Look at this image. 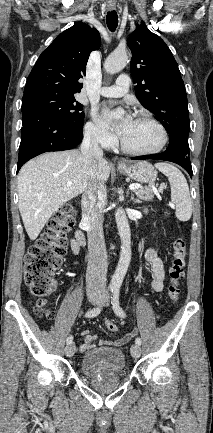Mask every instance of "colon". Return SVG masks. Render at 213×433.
Here are the masks:
<instances>
[{"instance_id": "colon-1", "label": "colon", "mask_w": 213, "mask_h": 433, "mask_svg": "<svg viewBox=\"0 0 213 433\" xmlns=\"http://www.w3.org/2000/svg\"><path fill=\"white\" fill-rule=\"evenodd\" d=\"M74 223V207L63 205L51 218L40 238L29 247L25 256V283L31 294L38 298L35 313L40 318L51 319L52 310L46 299L56 288L55 274L60 268L67 251V232ZM186 242L177 237L172 244V256L168 270V296L176 303L180 296V283L184 277ZM105 326L111 333L118 331L113 321H106Z\"/></svg>"}]
</instances>
